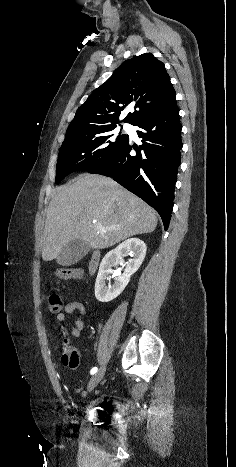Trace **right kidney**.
Segmentation results:
<instances>
[{
	"instance_id": "right-kidney-1",
	"label": "right kidney",
	"mask_w": 236,
	"mask_h": 467,
	"mask_svg": "<svg viewBox=\"0 0 236 467\" xmlns=\"http://www.w3.org/2000/svg\"><path fill=\"white\" fill-rule=\"evenodd\" d=\"M146 244L138 238H130L115 249L109 251L101 261L99 272L95 283V297L100 302H109L119 296L130 281L131 276L140 268L145 255ZM132 257L128 262H124L126 254ZM125 265L124 273L112 267ZM113 274L114 283H108L110 275Z\"/></svg>"
}]
</instances>
